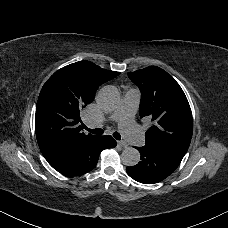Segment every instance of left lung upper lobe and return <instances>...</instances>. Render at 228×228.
I'll use <instances>...</instances> for the list:
<instances>
[{"instance_id":"1","label":"left lung upper lobe","mask_w":228,"mask_h":228,"mask_svg":"<svg viewBox=\"0 0 228 228\" xmlns=\"http://www.w3.org/2000/svg\"><path fill=\"white\" fill-rule=\"evenodd\" d=\"M141 91L139 115L151 121L146 144L185 155L192 138V113L180 85L163 69L150 66L128 73Z\"/></svg>"}]
</instances>
